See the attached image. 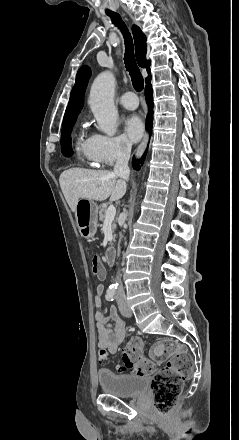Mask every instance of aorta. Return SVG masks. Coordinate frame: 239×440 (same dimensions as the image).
Masks as SVG:
<instances>
[{"label":"aorta","mask_w":239,"mask_h":440,"mask_svg":"<svg viewBox=\"0 0 239 440\" xmlns=\"http://www.w3.org/2000/svg\"><path fill=\"white\" fill-rule=\"evenodd\" d=\"M115 78L112 72H101L95 78L89 96V106L100 130L107 136H115L118 110L114 106Z\"/></svg>","instance_id":"obj_1"}]
</instances>
